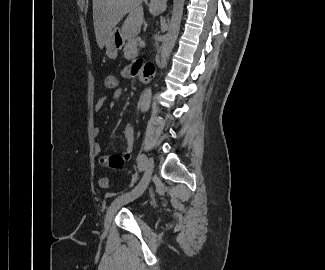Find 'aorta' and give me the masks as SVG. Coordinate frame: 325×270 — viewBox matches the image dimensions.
I'll list each match as a JSON object with an SVG mask.
<instances>
[{"instance_id": "aorta-1", "label": "aorta", "mask_w": 325, "mask_h": 270, "mask_svg": "<svg viewBox=\"0 0 325 270\" xmlns=\"http://www.w3.org/2000/svg\"><path fill=\"white\" fill-rule=\"evenodd\" d=\"M185 0H173V9L171 14V19L169 22L168 32L166 38L161 47V58L162 61H166L170 52L172 51L175 42L177 40L181 20L183 16ZM152 90L151 88H146L142 94L140 101V110L142 112L148 111L151 103Z\"/></svg>"}]
</instances>
